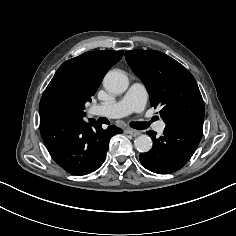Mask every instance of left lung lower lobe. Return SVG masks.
Listing matches in <instances>:
<instances>
[{"label":"left lung lower lobe","instance_id":"left-lung-lower-lobe-1","mask_svg":"<svg viewBox=\"0 0 236 236\" xmlns=\"http://www.w3.org/2000/svg\"><path fill=\"white\" fill-rule=\"evenodd\" d=\"M203 131V121L183 120L166 124L164 133L148 131L153 140L149 152L139 155L142 165L155 173L168 174L181 169L195 152Z\"/></svg>","mask_w":236,"mask_h":236}]
</instances>
